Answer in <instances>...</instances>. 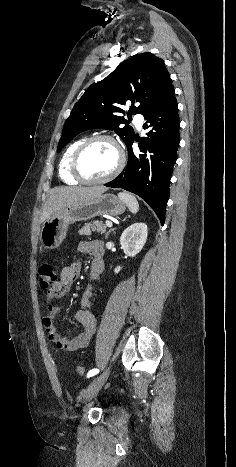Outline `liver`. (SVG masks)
<instances>
[{
	"mask_svg": "<svg viewBox=\"0 0 236 467\" xmlns=\"http://www.w3.org/2000/svg\"><path fill=\"white\" fill-rule=\"evenodd\" d=\"M106 190L107 188L103 186L56 187L51 190L47 201L43 205L40 221L44 223L52 214L58 210L66 206L90 201L100 196Z\"/></svg>",
	"mask_w": 236,
	"mask_h": 467,
	"instance_id": "6515ba94",
	"label": "liver"
}]
</instances>
